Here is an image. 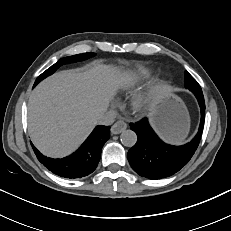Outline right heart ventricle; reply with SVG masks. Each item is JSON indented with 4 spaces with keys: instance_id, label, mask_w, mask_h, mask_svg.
Listing matches in <instances>:
<instances>
[{
    "instance_id": "e07e8e85",
    "label": "right heart ventricle",
    "mask_w": 231,
    "mask_h": 231,
    "mask_svg": "<svg viewBox=\"0 0 231 231\" xmlns=\"http://www.w3.org/2000/svg\"><path fill=\"white\" fill-rule=\"evenodd\" d=\"M150 74V71L144 70L141 72L133 73L123 81L122 88L124 91L131 90L134 86H136L141 80L147 78Z\"/></svg>"
}]
</instances>
